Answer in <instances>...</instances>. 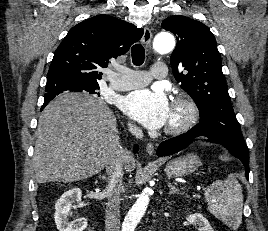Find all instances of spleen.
I'll list each match as a JSON object with an SVG mask.
<instances>
[{
  "instance_id": "1",
  "label": "spleen",
  "mask_w": 268,
  "mask_h": 231,
  "mask_svg": "<svg viewBox=\"0 0 268 231\" xmlns=\"http://www.w3.org/2000/svg\"><path fill=\"white\" fill-rule=\"evenodd\" d=\"M209 211L227 226L237 229L242 222L243 194L234 175L217 180L205 190Z\"/></svg>"
}]
</instances>
